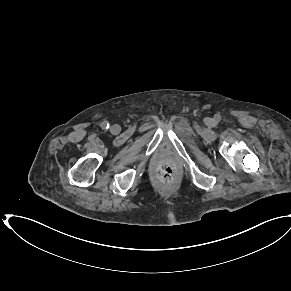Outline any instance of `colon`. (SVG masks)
Instances as JSON below:
<instances>
[{
	"mask_svg": "<svg viewBox=\"0 0 291 291\" xmlns=\"http://www.w3.org/2000/svg\"><path fill=\"white\" fill-rule=\"evenodd\" d=\"M175 176V167L172 163L165 162L158 169V178L163 182H170Z\"/></svg>",
	"mask_w": 291,
	"mask_h": 291,
	"instance_id": "1",
	"label": "colon"
}]
</instances>
